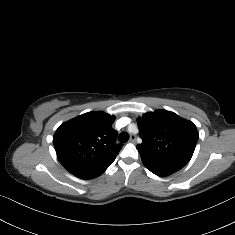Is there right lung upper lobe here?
<instances>
[{
	"label": "right lung upper lobe",
	"instance_id": "cb5924a9",
	"mask_svg": "<svg viewBox=\"0 0 235 235\" xmlns=\"http://www.w3.org/2000/svg\"><path fill=\"white\" fill-rule=\"evenodd\" d=\"M115 116L88 112L59 126L53 137L57 158L63 167L79 178L101 175L122 148L116 144L112 128Z\"/></svg>",
	"mask_w": 235,
	"mask_h": 235
}]
</instances>
